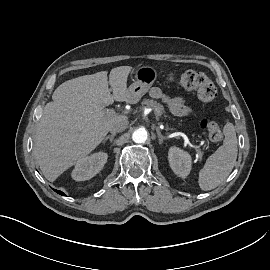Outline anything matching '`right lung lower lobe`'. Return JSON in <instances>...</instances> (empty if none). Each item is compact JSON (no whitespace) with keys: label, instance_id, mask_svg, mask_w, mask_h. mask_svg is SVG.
Instances as JSON below:
<instances>
[{"label":"right lung lower lobe","instance_id":"obj_1","mask_svg":"<svg viewBox=\"0 0 270 270\" xmlns=\"http://www.w3.org/2000/svg\"><path fill=\"white\" fill-rule=\"evenodd\" d=\"M58 194H60V195H64V193L63 192H61V191H59V190H55Z\"/></svg>","mask_w":270,"mask_h":270}]
</instances>
